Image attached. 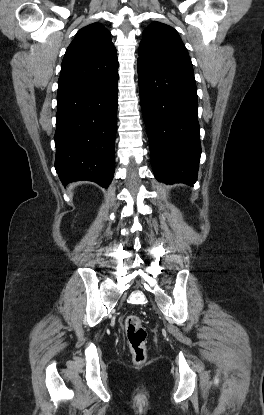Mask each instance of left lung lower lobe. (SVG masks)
<instances>
[{"instance_id": "0a47b994", "label": "left lung lower lobe", "mask_w": 264, "mask_h": 415, "mask_svg": "<svg viewBox=\"0 0 264 415\" xmlns=\"http://www.w3.org/2000/svg\"><path fill=\"white\" fill-rule=\"evenodd\" d=\"M138 78L156 179L194 184L201 155L194 75L138 60Z\"/></svg>"}]
</instances>
